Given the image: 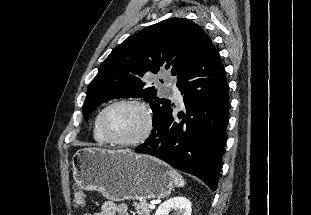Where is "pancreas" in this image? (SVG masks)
I'll use <instances>...</instances> for the list:
<instances>
[{
  "instance_id": "1",
  "label": "pancreas",
  "mask_w": 311,
  "mask_h": 215,
  "mask_svg": "<svg viewBox=\"0 0 311 215\" xmlns=\"http://www.w3.org/2000/svg\"><path fill=\"white\" fill-rule=\"evenodd\" d=\"M133 206L138 215H150L151 209L149 208V204L145 202H134Z\"/></svg>"
}]
</instances>
